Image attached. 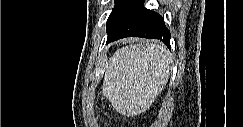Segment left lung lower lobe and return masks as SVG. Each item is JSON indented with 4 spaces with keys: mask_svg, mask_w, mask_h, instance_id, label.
Instances as JSON below:
<instances>
[{
    "mask_svg": "<svg viewBox=\"0 0 243 127\" xmlns=\"http://www.w3.org/2000/svg\"><path fill=\"white\" fill-rule=\"evenodd\" d=\"M107 44L125 37L156 38L170 46V31L157 12L144 8V0H121L107 21Z\"/></svg>",
    "mask_w": 243,
    "mask_h": 127,
    "instance_id": "1",
    "label": "left lung lower lobe"
}]
</instances>
